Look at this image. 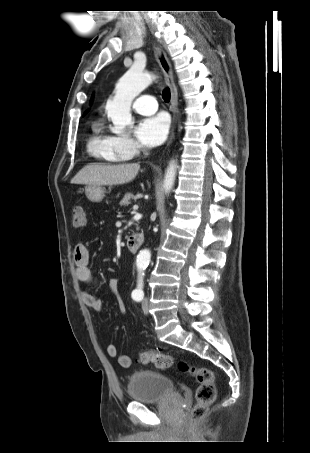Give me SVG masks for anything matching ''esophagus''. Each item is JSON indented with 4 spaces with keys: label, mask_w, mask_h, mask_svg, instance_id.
Returning <instances> with one entry per match:
<instances>
[{
    "label": "esophagus",
    "mask_w": 310,
    "mask_h": 453,
    "mask_svg": "<svg viewBox=\"0 0 310 453\" xmlns=\"http://www.w3.org/2000/svg\"><path fill=\"white\" fill-rule=\"evenodd\" d=\"M155 51L157 53L158 62L165 75L166 83L171 90V108H172L174 118H175L176 114H177L178 92H177V88H176L174 78H173L172 67H171V64L169 62L167 55L158 45L155 47ZM173 137H174V132L172 129V133H171L170 139L168 141V146L171 144Z\"/></svg>",
    "instance_id": "1"
}]
</instances>
